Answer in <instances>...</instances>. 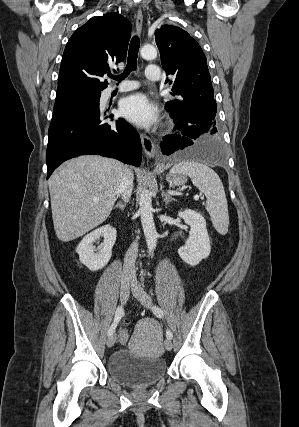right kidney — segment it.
Instances as JSON below:
<instances>
[{
    "instance_id": "ca27d5eb",
    "label": "right kidney",
    "mask_w": 299,
    "mask_h": 427,
    "mask_svg": "<svg viewBox=\"0 0 299 427\" xmlns=\"http://www.w3.org/2000/svg\"><path fill=\"white\" fill-rule=\"evenodd\" d=\"M104 241L95 249L93 245L99 237ZM116 241V229L107 224L87 234L77 246L79 260L89 270L97 271L105 267L112 255V248Z\"/></svg>"
}]
</instances>
